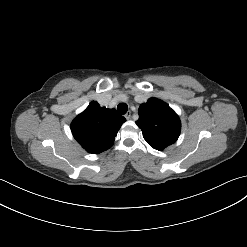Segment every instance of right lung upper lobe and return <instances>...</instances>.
<instances>
[{
  "label": "right lung upper lobe",
  "instance_id": "right-lung-upper-lobe-1",
  "mask_svg": "<svg viewBox=\"0 0 247 247\" xmlns=\"http://www.w3.org/2000/svg\"><path fill=\"white\" fill-rule=\"evenodd\" d=\"M126 121L115 109H107L93 101L71 123L77 142L89 153L99 154L114 143L121 125Z\"/></svg>",
  "mask_w": 247,
  "mask_h": 247
}]
</instances>
